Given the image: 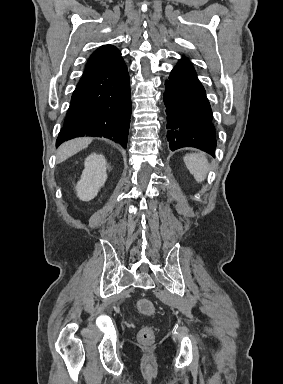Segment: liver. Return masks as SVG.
Returning a JSON list of instances; mask_svg holds the SVG:
<instances>
[{"instance_id":"6515ba94","label":"liver","mask_w":283,"mask_h":384,"mask_svg":"<svg viewBox=\"0 0 283 384\" xmlns=\"http://www.w3.org/2000/svg\"><path fill=\"white\" fill-rule=\"evenodd\" d=\"M92 138H75V140H69V142H64L61 144L60 148L57 150V162H64L67 158H71L77 152H81L84 148H87L91 144Z\"/></svg>"}]
</instances>
